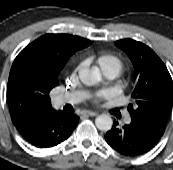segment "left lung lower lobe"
<instances>
[{"label":"left lung lower lobe","instance_id":"obj_1","mask_svg":"<svg viewBox=\"0 0 173 170\" xmlns=\"http://www.w3.org/2000/svg\"><path fill=\"white\" fill-rule=\"evenodd\" d=\"M118 122H114L113 127L105 135L107 143L122 155L136 156L148 152L163 136L164 131L135 118L131 123L117 127Z\"/></svg>","mask_w":173,"mask_h":170}]
</instances>
